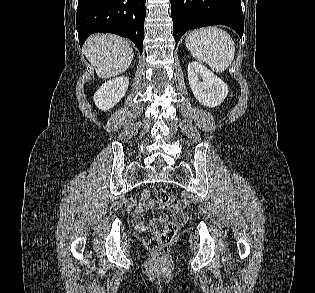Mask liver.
<instances>
[{"label": "liver", "mask_w": 315, "mask_h": 293, "mask_svg": "<svg viewBox=\"0 0 315 293\" xmlns=\"http://www.w3.org/2000/svg\"><path fill=\"white\" fill-rule=\"evenodd\" d=\"M83 50L97 76L105 79L126 71L134 57L128 41L112 34L92 35Z\"/></svg>", "instance_id": "obj_1"}]
</instances>
